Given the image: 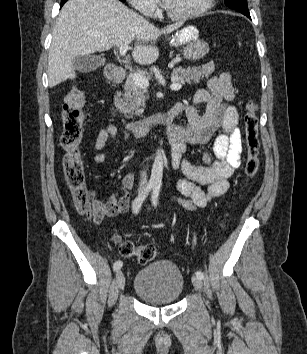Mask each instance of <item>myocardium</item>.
Returning <instances> with one entry per match:
<instances>
[{
  "label": "myocardium",
  "mask_w": 307,
  "mask_h": 354,
  "mask_svg": "<svg viewBox=\"0 0 307 354\" xmlns=\"http://www.w3.org/2000/svg\"><path fill=\"white\" fill-rule=\"evenodd\" d=\"M214 2L215 0H204L203 4L199 8L185 14H174L170 10H168L167 7H165V13L172 20L186 21L204 15L212 8Z\"/></svg>",
  "instance_id": "obj_1"
}]
</instances>
